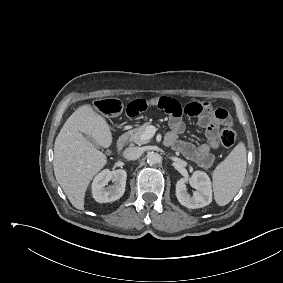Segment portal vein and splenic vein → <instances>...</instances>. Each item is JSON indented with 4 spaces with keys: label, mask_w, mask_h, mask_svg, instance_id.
Instances as JSON below:
<instances>
[{
    "label": "portal vein and splenic vein",
    "mask_w": 283,
    "mask_h": 283,
    "mask_svg": "<svg viewBox=\"0 0 283 283\" xmlns=\"http://www.w3.org/2000/svg\"><path fill=\"white\" fill-rule=\"evenodd\" d=\"M154 133H155L154 127L149 126L145 131V134H143L142 139H150L153 137Z\"/></svg>",
    "instance_id": "portal-vein-and-splenic-vein-1"
}]
</instances>
